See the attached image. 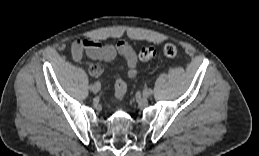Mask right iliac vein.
Instances as JSON below:
<instances>
[{
    "label": "right iliac vein",
    "mask_w": 259,
    "mask_h": 156,
    "mask_svg": "<svg viewBox=\"0 0 259 156\" xmlns=\"http://www.w3.org/2000/svg\"><path fill=\"white\" fill-rule=\"evenodd\" d=\"M100 90V86L99 85H93V88L91 89L92 92L97 93Z\"/></svg>",
    "instance_id": "right-iliac-vein-1"
}]
</instances>
